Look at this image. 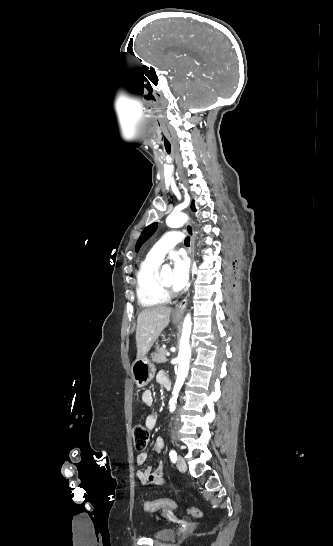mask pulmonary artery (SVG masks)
Returning a JSON list of instances; mask_svg holds the SVG:
<instances>
[{"mask_svg":"<svg viewBox=\"0 0 333 546\" xmlns=\"http://www.w3.org/2000/svg\"><path fill=\"white\" fill-rule=\"evenodd\" d=\"M183 234L179 231H169L165 233L160 240L151 248L147 257L149 259L162 262L165 255L173 249L178 243L182 242Z\"/></svg>","mask_w":333,"mask_h":546,"instance_id":"e3ab8cb5","label":"pulmonary artery"}]
</instances>
